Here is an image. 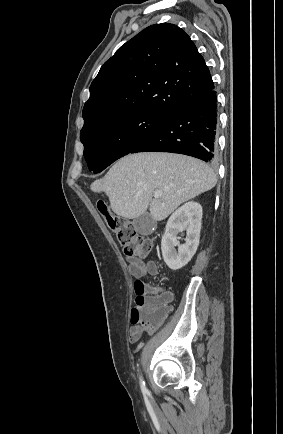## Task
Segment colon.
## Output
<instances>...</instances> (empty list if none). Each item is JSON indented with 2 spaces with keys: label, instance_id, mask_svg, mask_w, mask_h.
Masks as SVG:
<instances>
[{
  "label": "colon",
  "instance_id": "1",
  "mask_svg": "<svg viewBox=\"0 0 283 434\" xmlns=\"http://www.w3.org/2000/svg\"><path fill=\"white\" fill-rule=\"evenodd\" d=\"M97 208L107 226L116 234L124 254L129 257L145 258L151 250L152 241L138 234L127 219L113 214L106 203L98 202ZM135 290L136 306L131 310L130 322L133 326L142 327L144 331L153 332L168 312L170 297L167 294L149 296L155 290L141 280L136 282Z\"/></svg>",
  "mask_w": 283,
  "mask_h": 434
}]
</instances>
